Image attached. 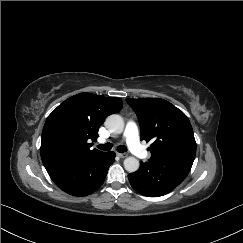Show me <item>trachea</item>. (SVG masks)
<instances>
[{
	"mask_svg": "<svg viewBox=\"0 0 243 243\" xmlns=\"http://www.w3.org/2000/svg\"><path fill=\"white\" fill-rule=\"evenodd\" d=\"M97 147H98L100 150H103V151H109V150H111V148H112V144H111V143H106V144L98 145ZM117 151H118L119 153H124V152L127 151V148H126V146H124V145H120V146H118Z\"/></svg>",
	"mask_w": 243,
	"mask_h": 243,
	"instance_id": "3493384b",
	"label": "trachea"
}]
</instances>
